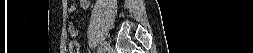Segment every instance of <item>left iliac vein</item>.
Masks as SVG:
<instances>
[{"label":"left iliac vein","mask_w":253,"mask_h":53,"mask_svg":"<svg viewBox=\"0 0 253 53\" xmlns=\"http://www.w3.org/2000/svg\"><path fill=\"white\" fill-rule=\"evenodd\" d=\"M108 48H109V44L107 42H104V51H103V53H106Z\"/></svg>","instance_id":"obj_1"}]
</instances>
